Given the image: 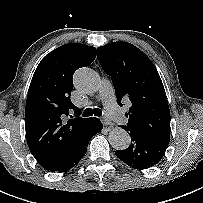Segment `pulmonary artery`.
<instances>
[{
	"instance_id": "e3ab8cb5",
	"label": "pulmonary artery",
	"mask_w": 203,
	"mask_h": 203,
	"mask_svg": "<svg viewBox=\"0 0 203 203\" xmlns=\"http://www.w3.org/2000/svg\"><path fill=\"white\" fill-rule=\"evenodd\" d=\"M100 93L107 114L119 123L126 122V116L123 110L118 106L113 86L108 80L102 82Z\"/></svg>"
}]
</instances>
